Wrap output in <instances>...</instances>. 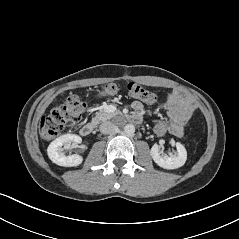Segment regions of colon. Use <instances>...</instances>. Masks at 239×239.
Returning a JSON list of instances; mask_svg holds the SVG:
<instances>
[{
  "label": "colon",
  "mask_w": 239,
  "mask_h": 239,
  "mask_svg": "<svg viewBox=\"0 0 239 239\" xmlns=\"http://www.w3.org/2000/svg\"><path fill=\"white\" fill-rule=\"evenodd\" d=\"M125 90L134 98L152 105L156 101L153 92L145 89L143 86L129 82L124 86ZM109 93L118 90V86L111 84L106 87ZM86 106L76 96L68 97L63 104L54 108L51 113L41 119L40 132L43 138L52 139L58 136L66 127L76 125L82 120ZM152 133L156 137L168 134L170 130V118L161 109H155L150 114Z\"/></svg>",
  "instance_id": "5ec220e1"
}]
</instances>
